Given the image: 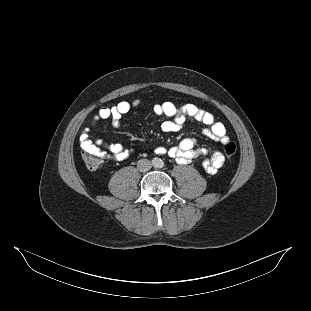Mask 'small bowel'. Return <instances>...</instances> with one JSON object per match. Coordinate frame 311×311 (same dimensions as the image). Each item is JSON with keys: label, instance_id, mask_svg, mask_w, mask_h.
Returning a JSON list of instances; mask_svg holds the SVG:
<instances>
[{"label": "small bowel", "instance_id": "obj_1", "mask_svg": "<svg viewBox=\"0 0 311 311\" xmlns=\"http://www.w3.org/2000/svg\"><path fill=\"white\" fill-rule=\"evenodd\" d=\"M137 105V101H121L111 107H101L92 117L91 126L96 125L100 120L111 119V125L113 127H118L121 123L122 116ZM153 111L157 115H164L171 118L162 123L161 128L164 132L170 133L179 131L185 124L186 118L189 117L201 122L205 126L202 129V133L205 136L215 141H219L222 144H226L229 141L225 126L221 122L215 120L211 113L194 104H186L181 107H176L173 103L167 101L155 105ZM89 135V128H85L80 135V145L83 150L100 152V150L104 148L110 152L116 160H123L128 156V152L120 144L106 143L102 139H95L92 141L89 139ZM194 146L195 141L191 138H187L182 140L176 147H158L155 149V152L157 154H168L170 157L175 158L179 163L187 164L199 156H205L208 154L206 149H195ZM223 163V153L219 150H215L209 157L201 161V166L208 173L215 174L222 167Z\"/></svg>", "mask_w": 311, "mask_h": 311}]
</instances>
